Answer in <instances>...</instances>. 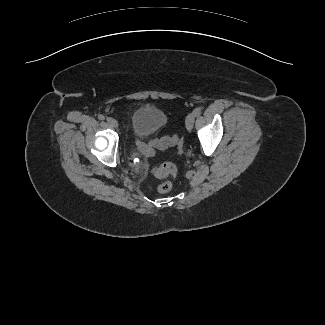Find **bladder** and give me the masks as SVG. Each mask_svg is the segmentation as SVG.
<instances>
[{"mask_svg": "<svg viewBox=\"0 0 325 325\" xmlns=\"http://www.w3.org/2000/svg\"><path fill=\"white\" fill-rule=\"evenodd\" d=\"M167 123L166 113L153 106L138 107L131 115L132 134L137 139H144L157 133Z\"/></svg>", "mask_w": 325, "mask_h": 325, "instance_id": "obj_1", "label": "bladder"}]
</instances>
